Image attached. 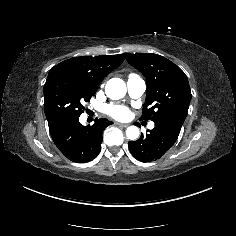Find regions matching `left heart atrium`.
<instances>
[{"label":"left heart atrium","mask_w":236,"mask_h":236,"mask_svg":"<svg viewBox=\"0 0 236 236\" xmlns=\"http://www.w3.org/2000/svg\"><path fill=\"white\" fill-rule=\"evenodd\" d=\"M104 112L115 119H122L129 115V109L120 104H109L104 108Z\"/></svg>","instance_id":"39dd6f15"}]
</instances>
